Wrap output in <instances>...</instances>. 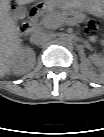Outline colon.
<instances>
[{
    "instance_id": "colon-1",
    "label": "colon",
    "mask_w": 104,
    "mask_h": 137,
    "mask_svg": "<svg viewBox=\"0 0 104 137\" xmlns=\"http://www.w3.org/2000/svg\"><path fill=\"white\" fill-rule=\"evenodd\" d=\"M94 26H95V22L91 20L88 24L89 29H93Z\"/></svg>"
}]
</instances>
